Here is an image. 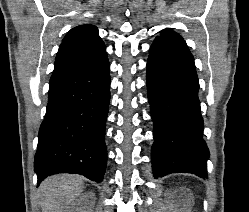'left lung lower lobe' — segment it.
I'll return each mask as SVG.
<instances>
[{
    "mask_svg": "<svg viewBox=\"0 0 249 212\" xmlns=\"http://www.w3.org/2000/svg\"><path fill=\"white\" fill-rule=\"evenodd\" d=\"M154 123L151 162L155 178L191 173L208 178L202 139L199 82L190 52L163 42L150 48L146 75Z\"/></svg>",
    "mask_w": 249,
    "mask_h": 212,
    "instance_id": "0a47b994",
    "label": "left lung lower lobe"
}]
</instances>
